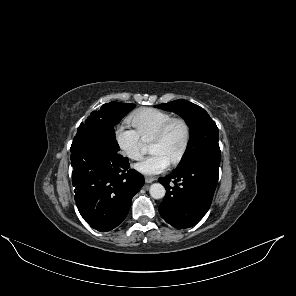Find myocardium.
<instances>
[{"label": "myocardium", "mask_w": 296, "mask_h": 296, "mask_svg": "<svg viewBox=\"0 0 296 296\" xmlns=\"http://www.w3.org/2000/svg\"><path fill=\"white\" fill-rule=\"evenodd\" d=\"M176 123H179L183 126L184 130H185V141H184V145L182 147L181 152L179 153V155L171 162L172 165H177L179 164L186 156L188 150H189V146L191 143V128L190 125L188 123V121L183 118V117H172L170 120H168L163 126L162 128L159 130V132L154 136V138L152 139V143L153 142H159L162 141L166 138V136L168 135L170 129L172 128V126Z\"/></svg>", "instance_id": "f54148a6"}]
</instances>
